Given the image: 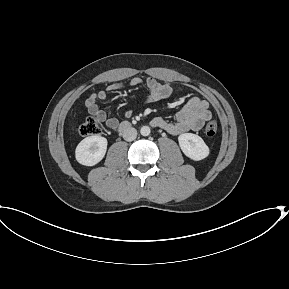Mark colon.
Masks as SVG:
<instances>
[{
    "instance_id": "colon-1",
    "label": "colon",
    "mask_w": 289,
    "mask_h": 289,
    "mask_svg": "<svg viewBox=\"0 0 289 289\" xmlns=\"http://www.w3.org/2000/svg\"><path fill=\"white\" fill-rule=\"evenodd\" d=\"M217 122L209 120L205 126V134L208 137H213L217 132ZM102 129L99 121L95 117L87 118L82 124L78 126V133L81 136H96L101 134Z\"/></svg>"
}]
</instances>
